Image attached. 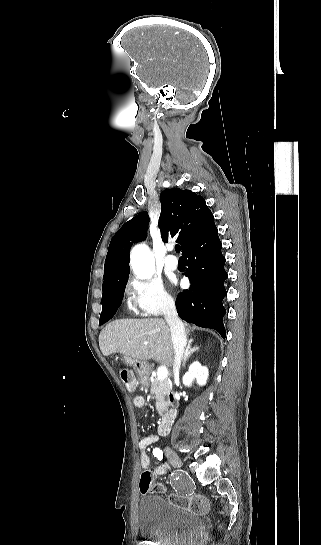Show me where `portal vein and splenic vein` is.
<instances>
[{
  "instance_id": "18ae733b",
  "label": "portal vein and splenic vein",
  "mask_w": 321,
  "mask_h": 545,
  "mask_svg": "<svg viewBox=\"0 0 321 545\" xmlns=\"http://www.w3.org/2000/svg\"><path fill=\"white\" fill-rule=\"evenodd\" d=\"M145 345H147V343H145ZM167 377H168L167 367H164V365H162V367H159L157 371V379L158 381H163V379H167Z\"/></svg>"
}]
</instances>
